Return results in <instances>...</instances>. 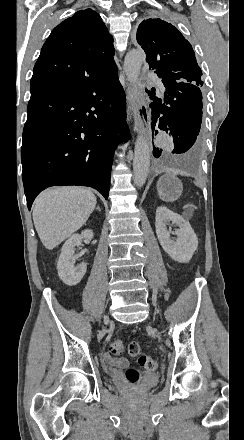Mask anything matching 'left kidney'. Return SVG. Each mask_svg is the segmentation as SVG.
<instances>
[{
    "label": "left kidney",
    "instance_id": "5707ae66",
    "mask_svg": "<svg viewBox=\"0 0 244 440\" xmlns=\"http://www.w3.org/2000/svg\"><path fill=\"white\" fill-rule=\"evenodd\" d=\"M167 222L176 224L178 230H175V232L167 230ZM155 228L160 246L170 258H173L176 262H182V264L190 262L195 250L198 248V238L185 218H182L179 214H174L166 206H159L156 210ZM170 234H176V242L171 240Z\"/></svg>",
    "mask_w": 244,
    "mask_h": 440
}]
</instances>
